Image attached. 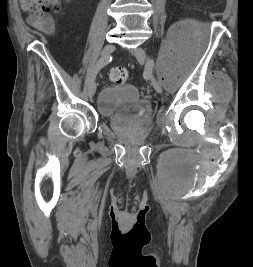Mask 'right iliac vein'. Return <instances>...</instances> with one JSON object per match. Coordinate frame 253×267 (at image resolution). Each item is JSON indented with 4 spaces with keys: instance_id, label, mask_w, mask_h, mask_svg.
I'll list each match as a JSON object with an SVG mask.
<instances>
[{
    "instance_id": "63e3f726",
    "label": "right iliac vein",
    "mask_w": 253,
    "mask_h": 267,
    "mask_svg": "<svg viewBox=\"0 0 253 267\" xmlns=\"http://www.w3.org/2000/svg\"><path fill=\"white\" fill-rule=\"evenodd\" d=\"M115 50V46L113 44H107L104 46L102 50V56H107L112 54V52ZM96 92V82L95 80L92 81L88 86V96L92 98Z\"/></svg>"
}]
</instances>
